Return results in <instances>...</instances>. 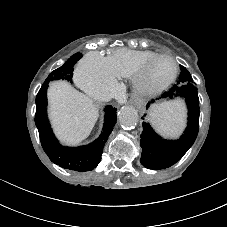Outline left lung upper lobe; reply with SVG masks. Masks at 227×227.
Returning <instances> with one entry per match:
<instances>
[{
  "label": "left lung upper lobe",
  "mask_w": 227,
  "mask_h": 227,
  "mask_svg": "<svg viewBox=\"0 0 227 227\" xmlns=\"http://www.w3.org/2000/svg\"><path fill=\"white\" fill-rule=\"evenodd\" d=\"M180 69H181V73L177 80V84L193 83V79H192L189 71L184 66H180Z\"/></svg>",
  "instance_id": "left-lung-upper-lobe-1"
}]
</instances>
